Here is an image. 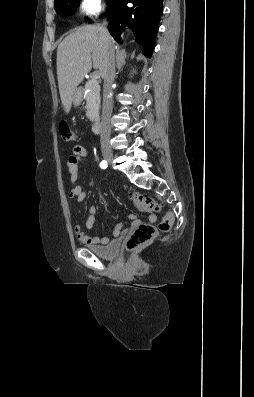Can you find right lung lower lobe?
I'll return each instance as SVG.
<instances>
[{"instance_id": "1", "label": "right lung lower lobe", "mask_w": 254, "mask_h": 397, "mask_svg": "<svg viewBox=\"0 0 254 397\" xmlns=\"http://www.w3.org/2000/svg\"><path fill=\"white\" fill-rule=\"evenodd\" d=\"M129 2L133 3L132 8L127 7ZM162 13L163 0H113L106 11L108 29L118 43H122L125 30L131 31L143 46V54L150 58Z\"/></svg>"}]
</instances>
